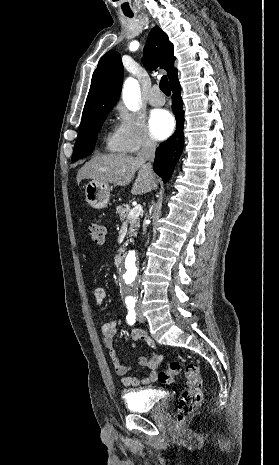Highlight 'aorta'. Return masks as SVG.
Listing matches in <instances>:
<instances>
[{"mask_svg":"<svg viewBox=\"0 0 279 465\" xmlns=\"http://www.w3.org/2000/svg\"><path fill=\"white\" fill-rule=\"evenodd\" d=\"M140 87L136 79L129 77L126 79L123 86V101L126 107L132 111H136L139 105ZM138 280L137 259L135 252H129L125 258L124 266L121 273L122 288L125 293L126 300H130L129 296L132 288Z\"/></svg>","mask_w":279,"mask_h":465,"instance_id":"1","label":"aorta"}]
</instances>
